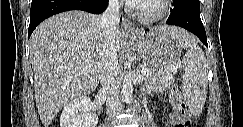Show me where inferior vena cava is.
Returning <instances> with one entry per match:
<instances>
[{"instance_id": "inferior-vena-cava-1", "label": "inferior vena cava", "mask_w": 243, "mask_h": 127, "mask_svg": "<svg viewBox=\"0 0 243 127\" xmlns=\"http://www.w3.org/2000/svg\"><path fill=\"white\" fill-rule=\"evenodd\" d=\"M119 0H109L108 6L100 17V25L105 29L102 46V59L99 81L102 89L108 93L107 112L113 118L120 109L118 58L115 45V32L119 23Z\"/></svg>"}]
</instances>
